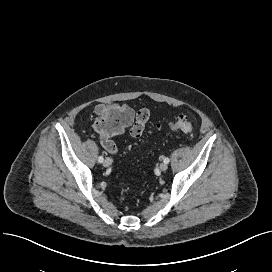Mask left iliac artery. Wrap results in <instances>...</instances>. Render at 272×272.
Instances as JSON below:
<instances>
[{"instance_id": "1", "label": "left iliac artery", "mask_w": 272, "mask_h": 272, "mask_svg": "<svg viewBox=\"0 0 272 272\" xmlns=\"http://www.w3.org/2000/svg\"><path fill=\"white\" fill-rule=\"evenodd\" d=\"M169 161H170V160H169L168 157L164 158V162H165V163H169Z\"/></svg>"}]
</instances>
